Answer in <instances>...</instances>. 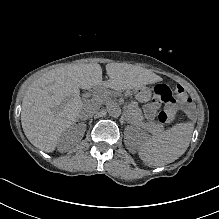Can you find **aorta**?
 <instances>
[{
  "label": "aorta",
  "mask_w": 219,
  "mask_h": 219,
  "mask_svg": "<svg viewBox=\"0 0 219 219\" xmlns=\"http://www.w3.org/2000/svg\"><path fill=\"white\" fill-rule=\"evenodd\" d=\"M106 109H107L108 114L114 118L119 117L122 112L121 107L115 101H109L106 105Z\"/></svg>",
  "instance_id": "1"
}]
</instances>
